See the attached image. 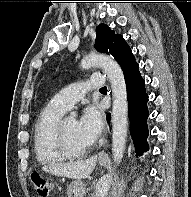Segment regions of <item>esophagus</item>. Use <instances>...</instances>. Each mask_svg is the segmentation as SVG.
Masks as SVG:
<instances>
[{
  "instance_id": "esophagus-1",
  "label": "esophagus",
  "mask_w": 191,
  "mask_h": 197,
  "mask_svg": "<svg viewBox=\"0 0 191 197\" xmlns=\"http://www.w3.org/2000/svg\"><path fill=\"white\" fill-rule=\"evenodd\" d=\"M98 158L99 160H106L108 159V156L106 154H100Z\"/></svg>"
}]
</instances>
